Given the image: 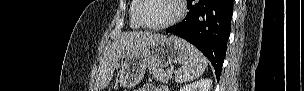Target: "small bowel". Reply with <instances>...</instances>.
I'll return each instance as SVG.
<instances>
[{
  "instance_id": "c3829d8e",
  "label": "small bowel",
  "mask_w": 304,
  "mask_h": 91,
  "mask_svg": "<svg viewBox=\"0 0 304 91\" xmlns=\"http://www.w3.org/2000/svg\"><path fill=\"white\" fill-rule=\"evenodd\" d=\"M139 91H167V88L161 85H152V84H146L142 86Z\"/></svg>"
}]
</instances>
